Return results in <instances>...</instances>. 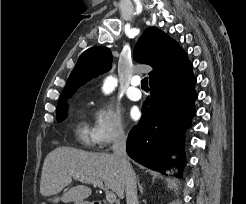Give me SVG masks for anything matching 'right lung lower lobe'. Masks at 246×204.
<instances>
[{
	"label": "right lung lower lobe",
	"instance_id": "right-lung-lower-lobe-1",
	"mask_svg": "<svg viewBox=\"0 0 246 204\" xmlns=\"http://www.w3.org/2000/svg\"><path fill=\"white\" fill-rule=\"evenodd\" d=\"M195 83L191 63L150 82V97L143 104L141 120L127 140V153L132 159L164 173L172 166L171 154L178 151L174 165L183 169L182 134L195 114Z\"/></svg>",
	"mask_w": 246,
	"mask_h": 204
}]
</instances>
